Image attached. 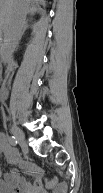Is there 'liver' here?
<instances>
[{"mask_svg":"<svg viewBox=\"0 0 103 193\" xmlns=\"http://www.w3.org/2000/svg\"><path fill=\"white\" fill-rule=\"evenodd\" d=\"M27 7V0H0V29L5 39L10 34L16 14Z\"/></svg>","mask_w":103,"mask_h":193,"instance_id":"liver-1","label":"liver"}]
</instances>
